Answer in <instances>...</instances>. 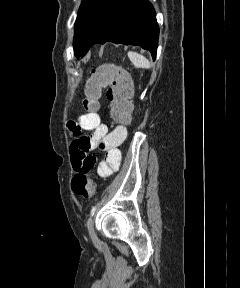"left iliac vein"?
Wrapping results in <instances>:
<instances>
[{"mask_svg": "<svg viewBox=\"0 0 240 288\" xmlns=\"http://www.w3.org/2000/svg\"><path fill=\"white\" fill-rule=\"evenodd\" d=\"M87 228H88V231H89V234H90L91 238H92L93 240H96V239H97V236H96V233H95V230H94V219H93V215L88 219Z\"/></svg>", "mask_w": 240, "mask_h": 288, "instance_id": "obj_1", "label": "left iliac vein"}]
</instances>
